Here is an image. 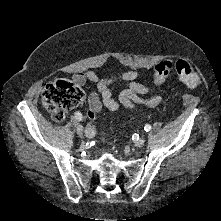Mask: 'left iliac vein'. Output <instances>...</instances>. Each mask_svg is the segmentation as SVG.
<instances>
[{
    "instance_id": "4c4485c4",
    "label": "left iliac vein",
    "mask_w": 221,
    "mask_h": 221,
    "mask_svg": "<svg viewBox=\"0 0 221 221\" xmlns=\"http://www.w3.org/2000/svg\"><path fill=\"white\" fill-rule=\"evenodd\" d=\"M144 143H145V139L143 137H141L134 142V145L136 147H142L144 145Z\"/></svg>"
}]
</instances>
